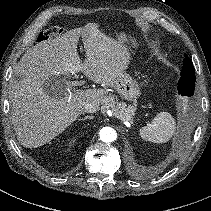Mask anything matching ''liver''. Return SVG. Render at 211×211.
<instances>
[{
	"label": "liver",
	"mask_w": 211,
	"mask_h": 211,
	"mask_svg": "<svg viewBox=\"0 0 211 211\" xmlns=\"http://www.w3.org/2000/svg\"><path fill=\"white\" fill-rule=\"evenodd\" d=\"M98 28L89 23L38 43L26 51L15 67L10 92L11 120L24 147L36 148L51 141L82 114L86 103L97 105L99 110L107 95L102 88L75 90L74 83L63 79V93L53 97L44 89L50 76L83 72L95 83L115 87L127 69L130 52L124 40H114ZM80 36L87 56L84 62L77 52Z\"/></svg>",
	"instance_id": "6515ba94"
}]
</instances>
